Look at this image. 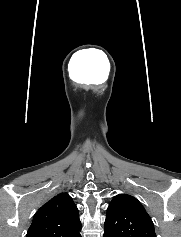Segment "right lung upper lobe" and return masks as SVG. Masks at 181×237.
Masks as SVG:
<instances>
[{
  "label": "right lung upper lobe",
  "instance_id": "cb5924a9",
  "mask_svg": "<svg viewBox=\"0 0 181 237\" xmlns=\"http://www.w3.org/2000/svg\"><path fill=\"white\" fill-rule=\"evenodd\" d=\"M79 212L67 193L45 203L34 215L26 237H79Z\"/></svg>",
  "mask_w": 181,
  "mask_h": 237
}]
</instances>
